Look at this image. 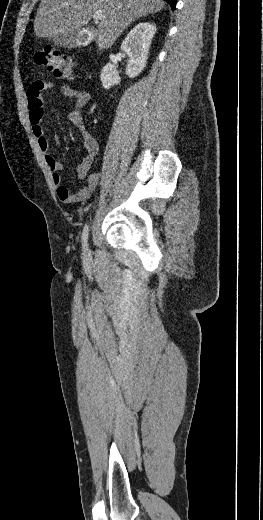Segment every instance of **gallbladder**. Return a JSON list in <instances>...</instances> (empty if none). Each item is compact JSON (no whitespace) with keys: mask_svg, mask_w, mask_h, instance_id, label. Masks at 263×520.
Listing matches in <instances>:
<instances>
[{"mask_svg":"<svg viewBox=\"0 0 263 520\" xmlns=\"http://www.w3.org/2000/svg\"><path fill=\"white\" fill-rule=\"evenodd\" d=\"M81 33H82V29H78L74 33H71V34L56 35L53 37V42L55 45H59L64 48H68V49L76 48L81 45L79 43Z\"/></svg>","mask_w":263,"mask_h":520,"instance_id":"obj_1","label":"gallbladder"}]
</instances>
